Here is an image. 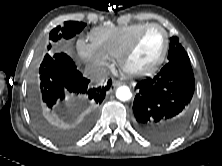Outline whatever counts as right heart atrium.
<instances>
[{
  "label": "right heart atrium",
  "mask_w": 222,
  "mask_h": 166,
  "mask_svg": "<svg viewBox=\"0 0 222 166\" xmlns=\"http://www.w3.org/2000/svg\"><path fill=\"white\" fill-rule=\"evenodd\" d=\"M77 48L81 57L88 64L95 67H104L107 65L108 58L87 40H79L77 43Z\"/></svg>",
  "instance_id": "right-heart-atrium-1"
}]
</instances>
